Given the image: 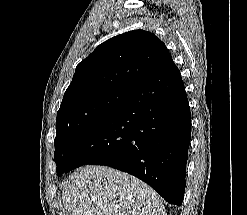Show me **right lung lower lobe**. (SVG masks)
<instances>
[{
  "label": "right lung lower lobe",
  "instance_id": "obj_1",
  "mask_svg": "<svg viewBox=\"0 0 247 215\" xmlns=\"http://www.w3.org/2000/svg\"><path fill=\"white\" fill-rule=\"evenodd\" d=\"M191 113L177 66L169 57L114 114L89 129L69 155L70 171L105 165L127 172L182 205Z\"/></svg>",
  "mask_w": 247,
  "mask_h": 215
}]
</instances>
